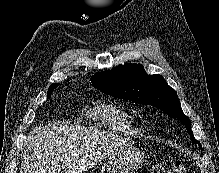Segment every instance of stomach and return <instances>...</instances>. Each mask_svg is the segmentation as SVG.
I'll list each match as a JSON object with an SVG mask.
<instances>
[{
  "mask_svg": "<svg viewBox=\"0 0 219 173\" xmlns=\"http://www.w3.org/2000/svg\"><path fill=\"white\" fill-rule=\"evenodd\" d=\"M144 161L141 149L124 144L114 150L102 163L101 173H134Z\"/></svg>",
  "mask_w": 219,
  "mask_h": 173,
  "instance_id": "0dacf381",
  "label": "stomach"
}]
</instances>
